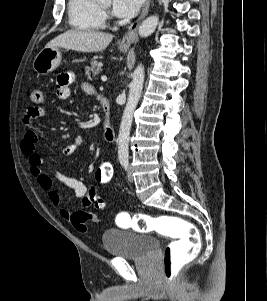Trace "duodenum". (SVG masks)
<instances>
[{"label": "duodenum", "mask_w": 267, "mask_h": 301, "mask_svg": "<svg viewBox=\"0 0 267 301\" xmlns=\"http://www.w3.org/2000/svg\"><path fill=\"white\" fill-rule=\"evenodd\" d=\"M99 99L105 114L103 120L104 136L108 142H113L115 140V130L110 123V102L105 97H100Z\"/></svg>", "instance_id": "obj_1"}]
</instances>
